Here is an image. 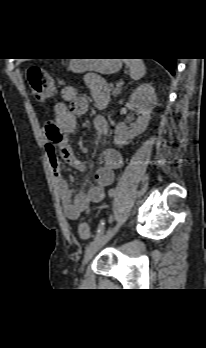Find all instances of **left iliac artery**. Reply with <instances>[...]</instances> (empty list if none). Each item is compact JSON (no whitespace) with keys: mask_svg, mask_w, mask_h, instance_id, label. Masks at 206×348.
Listing matches in <instances>:
<instances>
[{"mask_svg":"<svg viewBox=\"0 0 206 348\" xmlns=\"http://www.w3.org/2000/svg\"><path fill=\"white\" fill-rule=\"evenodd\" d=\"M117 193H118V190L116 188H113L112 189V194L116 195ZM104 224H105V219H100V226H99V228L97 230V234H96L94 240L99 239L103 235V233H104Z\"/></svg>","mask_w":206,"mask_h":348,"instance_id":"44dca946","label":"left iliac artery"}]
</instances>
